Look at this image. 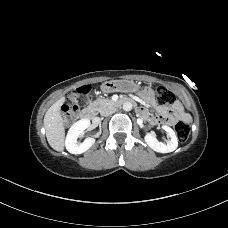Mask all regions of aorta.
<instances>
[{"label":"aorta","instance_id":"aorta-1","mask_svg":"<svg viewBox=\"0 0 228 228\" xmlns=\"http://www.w3.org/2000/svg\"><path fill=\"white\" fill-rule=\"evenodd\" d=\"M132 103L131 102H125L124 104H123V110L124 111H130L131 109H132Z\"/></svg>","mask_w":228,"mask_h":228}]
</instances>
